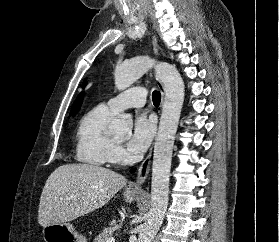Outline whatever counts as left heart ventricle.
I'll use <instances>...</instances> for the list:
<instances>
[{
    "label": "left heart ventricle",
    "mask_w": 279,
    "mask_h": 242,
    "mask_svg": "<svg viewBox=\"0 0 279 242\" xmlns=\"http://www.w3.org/2000/svg\"><path fill=\"white\" fill-rule=\"evenodd\" d=\"M123 140H124V138L117 139L118 142H122Z\"/></svg>",
    "instance_id": "left-heart-ventricle-1"
}]
</instances>
